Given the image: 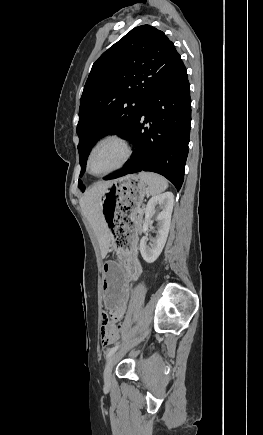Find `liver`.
I'll list each match as a JSON object with an SVG mask.
<instances>
[{
	"label": "liver",
	"instance_id": "liver-1",
	"mask_svg": "<svg viewBox=\"0 0 263 435\" xmlns=\"http://www.w3.org/2000/svg\"><path fill=\"white\" fill-rule=\"evenodd\" d=\"M111 182L112 181H101L94 184L86 190L80 199L81 209L95 233L100 246L102 258H105L108 253L110 235L101 212L99 201L104 190L111 184Z\"/></svg>",
	"mask_w": 263,
	"mask_h": 435
}]
</instances>
